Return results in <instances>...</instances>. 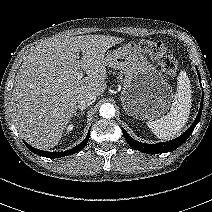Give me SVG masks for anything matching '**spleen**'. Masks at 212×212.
I'll return each mask as SVG.
<instances>
[{
    "instance_id": "spleen-1",
    "label": "spleen",
    "mask_w": 212,
    "mask_h": 212,
    "mask_svg": "<svg viewBox=\"0 0 212 212\" xmlns=\"http://www.w3.org/2000/svg\"><path fill=\"white\" fill-rule=\"evenodd\" d=\"M191 109V86L188 75L181 71L178 76L177 92L169 113L160 119L150 120L146 124L160 139H172L178 136L188 121Z\"/></svg>"
}]
</instances>
